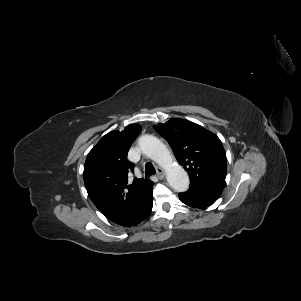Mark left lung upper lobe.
Instances as JSON below:
<instances>
[{"instance_id":"left-lung-upper-lobe-1","label":"left lung upper lobe","mask_w":301,"mask_h":301,"mask_svg":"<svg viewBox=\"0 0 301 301\" xmlns=\"http://www.w3.org/2000/svg\"><path fill=\"white\" fill-rule=\"evenodd\" d=\"M154 129L168 141L176 159L189 173L190 185L221 193L227 159L222 143L215 134L183 119L154 125Z\"/></svg>"}]
</instances>
